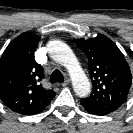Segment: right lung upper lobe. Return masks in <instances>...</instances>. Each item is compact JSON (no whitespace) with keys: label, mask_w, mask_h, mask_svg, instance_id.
Masks as SVG:
<instances>
[{"label":"right lung upper lobe","mask_w":133,"mask_h":133,"mask_svg":"<svg viewBox=\"0 0 133 133\" xmlns=\"http://www.w3.org/2000/svg\"><path fill=\"white\" fill-rule=\"evenodd\" d=\"M39 39L36 34L23 33L10 42L0 58V98L22 115L41 112L55 96L40 83L43 68L34 59Z\"/></svg>","instance_id":"right-lung-upper-lobe-1"}]
</instances>
